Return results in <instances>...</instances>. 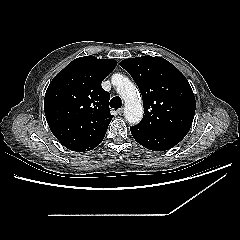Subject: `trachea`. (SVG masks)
Masks as SVG:
<instances>
[{
    "mask_svg": "<svg viewBox=\"0 0 240 240\" xmlns=\"http://www.w3.org/2000/svg\"><path fill=\"white\" fill-rule=\"evenodd\" d=\"M122 106V100L120 97L115 96L110 100V107L114 109L121 108Z\"/></svg>",
    "mask_w": 240,
    "mask_h": 240,
    "instance_id": "obj_1",
    "label": "trachea"
}]
</instances>
